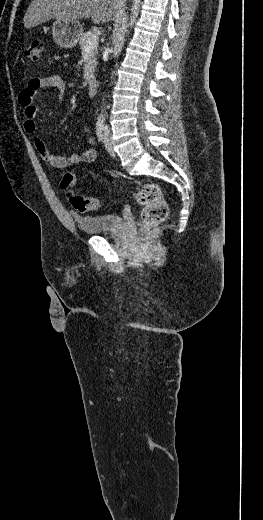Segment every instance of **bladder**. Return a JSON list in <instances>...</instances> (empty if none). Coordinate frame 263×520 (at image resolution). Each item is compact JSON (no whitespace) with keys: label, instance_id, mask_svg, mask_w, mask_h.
Segmentation results:
<instances>
[{"label":"bladder","instance_id":"bladder-1","mask_svg":"<svg viewBox=\"0 0 263 520\" xmlns=\"http://www.w3.org/2000/svg\"><path fill=\"white\" fill-rule=\"evenodd\" d=\"M79 230L87 234L116 233L124 228V219L119 214H101L74 217Z\"/></svg>","mask_w":263,"mask_h":520}]
</instances>
